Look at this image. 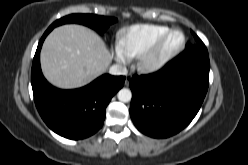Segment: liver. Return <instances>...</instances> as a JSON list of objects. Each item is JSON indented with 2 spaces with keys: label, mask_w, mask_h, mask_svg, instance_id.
I'll list each match as a JSON object with an SVG mask.
<instances>
[{
  "label": "liver",
  "mask_w": 248,
  "mask_h": 165,
  "mask_svg": "<svg viewBox=\"0 0 248 165\" xmlns=\"http://www.w3.org/2000/svg\"><path fill=\"white\" fill-rule=\"evenodd\" d=\"M112 56L103 40L87 27L55 28L41 50L45 78L62 89L82 87L106 72Z\"/></svg>",
  "instance_id": "1"
}]
</instances>
